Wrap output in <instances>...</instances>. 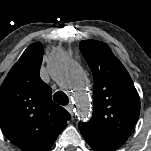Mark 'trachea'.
<instances>
[{
	"instance_id": "obj_1",
	"label": "trachea",
	"mask_w": 151,
	"mask_h": 151,
	"mask_svg": "<svg viewBox=\"0 0 151 151\" xmlns=\"http://www.w3.org/2000/svg\"><path fill=\"white\" fill-rule=\"evenodd\" d=\"M53 99L59 105H67L69 103L68 96L63 91H57L53 95Z\"/></svg>"
}]
</instances>
